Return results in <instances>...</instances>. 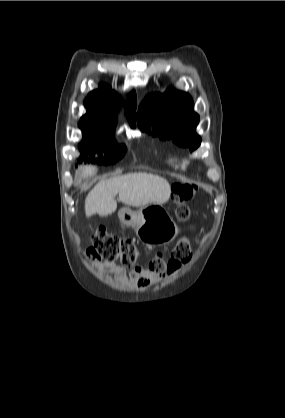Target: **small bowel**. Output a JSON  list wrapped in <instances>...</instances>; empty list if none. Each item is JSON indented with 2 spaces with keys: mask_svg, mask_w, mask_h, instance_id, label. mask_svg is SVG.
Here are the masks:
<instances>
[{
  "mask_svg": "<svg viewBox=\"0 0 285 418\" xmlns=\"http://www.w3.org/2000/svg\"><path fill=\"white\" fill-rule=\"evenodd\" d=\"M96 271L101 273H111L116 280H128L138 287L145 288L151 283L161 281V278L153 272L145 269L143 266H136L129 273L116 263H93Z\"/></svg>",
  "mask_w": 285,
  "mask_h": 418,
  "instance_id": "1",
  "label": "small bowel"
}]
</instances>
